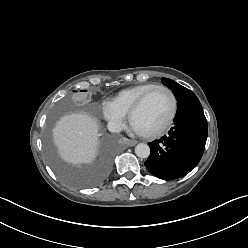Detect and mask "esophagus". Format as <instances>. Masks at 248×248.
Listing matches in <instances>:
<instances>
[{"mask_svg": "<svg viewBox=\"0 0 248 248\" xmlns=\"http://www.w3.org/2000/svg\"><path fill=\"white\" fill-rule=\"evenodd\" d=\"M124 143L128 146H135L137 144V141L135 140H130L128 138L123 139Z\"/></svg>", "mask_w": 248, "mask_h": 248, "instance_id": "esophagus-1", "label": "esophagus"}]
</instances>
